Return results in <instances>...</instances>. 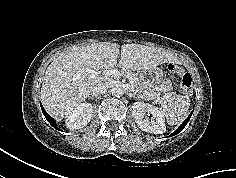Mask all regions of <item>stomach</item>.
<instances>
[{
  "label": "stomach",
  "instance_id": "stomach-1",
  "mask_svg": "<svg viewBox=\"0 0 236 178\" xmlns=\"http://www.w3.org/2000/svg\"><path fill=\"white\" fill-rule=\"evenodd\" d=\"M138 77L146 88L152 89L163 80V71L159 67H153L139 71Z\"/></svg>",
  "mask_w": 236,
  "mask_h": 178
}]
</instances>
